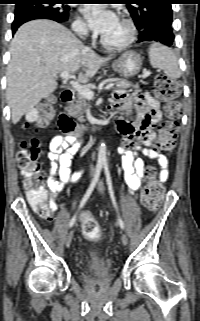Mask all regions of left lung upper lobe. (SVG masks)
<instances>
[{"instance_id":"obj_1","label":"left lung upper lobe","mask_w":200,"mask_h":321,"mask_svg":"<svg viewBox=\"0 0 200 321\" xmlns=\"http://www.w3.org/2000/svg\"><path fill=\"white\" fill-rule=\"evenodd\" d=\"M174 0H125L139 31L153 24L171 27Z\"/></svg>"}]
</instances>
